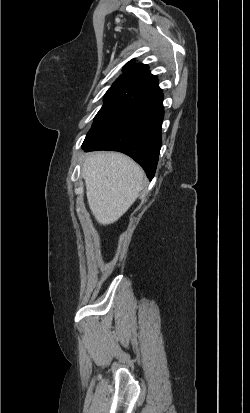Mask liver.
<instances>
[{
	"label": "liver",
	"mask_w": 250,
	"mask_h": 413,
	"mask_svg": "<svg viewBox=\"0 0 250 413\" xmlns=\"http://www.w3.org/2000/svg\"><path fill=\"white\" fill-rule=\"evenodd\" d=\"M82 176L89 208L102 225L116 222L143 189L144 172L118 152H92L84 156Z\"/></svg>",
	"instance_id": "1"
}]
</instances>
